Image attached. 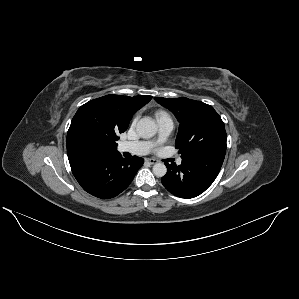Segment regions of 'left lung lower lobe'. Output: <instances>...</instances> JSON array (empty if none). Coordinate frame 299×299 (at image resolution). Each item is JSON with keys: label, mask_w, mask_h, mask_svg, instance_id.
I'll return each instance as SVG.
<instances>
[{"label": "left lung lower lobe", "mask_w": 299, "mask_h": 299, "mask_svg": "<svg viewBox=\"0 0 299 299\" xmlns=\"http://www.w3.org/2000/svg\"><path fill=\"white\" fill-rule=\"evenodd\" d=\"M225 152H198L182 158L181 165L165 163L167 173L161 181L175 196L194 198L203 193L217 177Z\"/></svg>", "instance_id": "left-lung-lower-lobe-1"}]
</instances>
